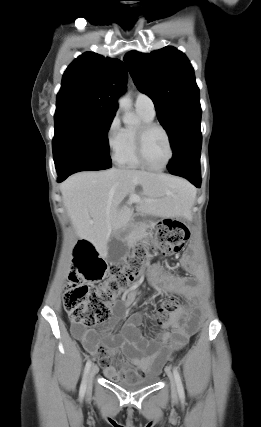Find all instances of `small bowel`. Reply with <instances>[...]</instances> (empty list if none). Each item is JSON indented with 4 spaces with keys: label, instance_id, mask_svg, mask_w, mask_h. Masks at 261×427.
Instances as JSON below:
<instances>
[{
    "label": "small bowel",
    "instance_id": "small-bowel-1",
    "mask_svg": "<svg viewBox=\"0 0 261 427\" xmlns=\"http://www.w3.org/2000/svg\"><path fill=\"white\" fill-rule=\"evenodd\" d=\"M178 267L190 274L198 272L192 256L187 253L180 258ZM148 280L157 292H176L192 303L198 301V287L192 276H180L163 270L160 265H154L149 270ZM138 294V289L134 288L116 302L112 308V317L98 330L78 325L72 326L71 329L74 337L83 344L86 351L98 356V362L104 369V373L112 378H143L149 374L158 373L170 354L185 346L199 323L198 314L180 307L170 313L166 323L169 329L162 332L158 338L148 340L140 329L143 315L136 312L129 316L121 334L114 335L112 328L123 316L124 308L133 304ZM132 351H149V354L142 358L132 357L134 371L117 372L111 366V356L119 352Z\"/></svg>",
    "mask_w": 261,
    "mask_h": 427
}]
</instances>
